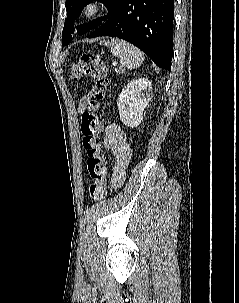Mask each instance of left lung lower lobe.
<instances>
[{
    "label": "left lung lower lobe",
    "mask_w": 239,
    "mask_h": 303,
    "mask_svg": "<svg viewBox=\"0 0 239 303\" xmlns=\"http://www.w3.org/2000/svg\"><path fill=\"white\" fill-rule=\"evenodd\" d=\"M173 0H122L108 20L91 33L118 37L145 52L156 65L171 71Z\"/></svg>",
    "instance_id": "obj_1"
}]
</instances>
